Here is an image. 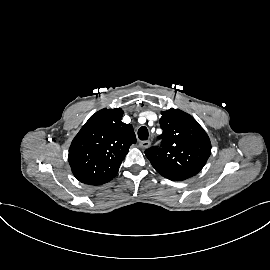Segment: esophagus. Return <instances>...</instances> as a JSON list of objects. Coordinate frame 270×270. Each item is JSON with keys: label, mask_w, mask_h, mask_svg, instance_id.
Instances as JSON below:
<instances>
[{"label": "esophagus", "mask_w": 270, "mask_h": 270, "mask_svg": "<svg viewBox=\"0 0 270 270\" xmlns=\"http://www.w3.org/2000/svg\"><path fill=\"white\" fill-rule=\"evenodd\" d=\"M150 144H151L150 141H141V142L139 143V145H140V147H141L142 149H147V148L150 146Z\"/></svg>", "instance_id": "esophagus-1"}]
</instances>
